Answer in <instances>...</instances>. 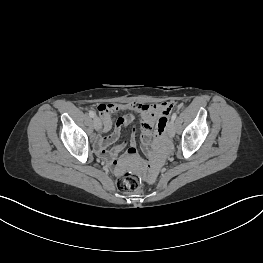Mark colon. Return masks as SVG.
<instances>
[{"label":"colon","mask_w":263,"mask_h":263,"mask_svg":"<svg viewBox=\"0 0 263 263\" xmlns=\"http://www.w3.org/2000/svg\"><path fill=\"white\" fill-rule=\"evenodd\" d=\"M165 110L166 105L163 102H138L137 100H130L128 103H99L94 107V112L97 115H113L114 113L137 115L145 112L163 113ZM116 184L117 188L123 193L137 192L141 188L140 178L132 172H125L123 176L117 180Z\"/></svg>","instance_id":"5ec220e1"}]
</instances>
